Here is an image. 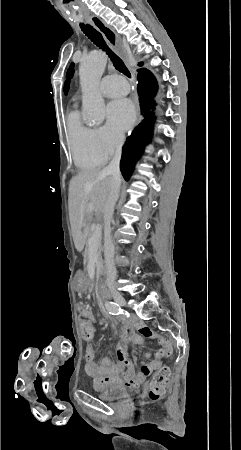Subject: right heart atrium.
Listing matches in <instances>:
<instances>
[{
  "label": "right heart atrium",
  "instance_id": "1",
  "mask_svg": "<svg viewBox=\"0 0 241 450\" xmlns=\"http://www.w3.org/2000/svg\"><path fill=\"white\" fill-rule=\"evenodd\" d=\"M92 137L95 142L96 151L103 155L106 159L114 155L111 150H116L118 155H123L125 153V148L121 146L122 137L111 132L109 129L101 127L98 130L92 132ZM98 137L100 144L98 142Z\"/></svg>",
  "mask_w": 241,
  "mask_h": 450
}]
</instances>
